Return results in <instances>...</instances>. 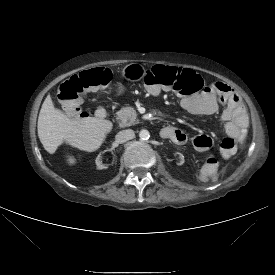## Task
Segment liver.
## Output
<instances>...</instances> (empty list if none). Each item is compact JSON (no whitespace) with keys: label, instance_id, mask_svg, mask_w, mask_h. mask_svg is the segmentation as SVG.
<instances>
[{"label":"liver","instance_id":"6515ba94","mask_svg":"<svg viewBox=\"0 0 275 275\" xmlns=\"http://www.w3.org/2000/svg\"><path fill=\"white\" fill-rule=\"evenodd\" d=\"M112 127L111 121L96 117L71 119L55 108L50 95L42 104L37 125L40 142L50 154L63 143L86 152L96 151Z\"/></svg>","mask_w":275,"mask_h":275}]
</instances>
